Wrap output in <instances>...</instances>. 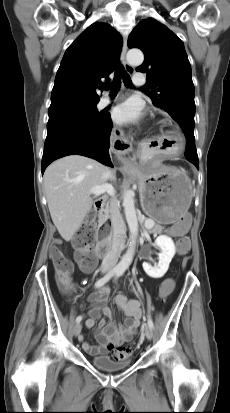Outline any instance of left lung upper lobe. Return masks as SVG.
<instances>
[{"instance_id": "5c2ea615", "label": "left lung upper lobe", "mask_w": 230, "mask_h": 413, "mask_svg": "<svg viewBox=\"0 0 230 413\" xmlns=\"http://www.w3.org/2000/svg\"><path fill=\"white\" fill-rule=\"evenodd\" d=\"M129 48L145 55L136 71L147 73L153 105L164 109L182 128L194 131V85L183 42L153 18L140 21L128 38Z\"/></svg>"}]
</instances>
